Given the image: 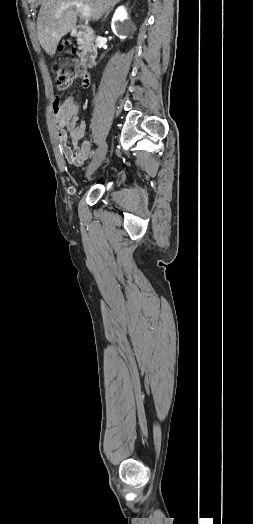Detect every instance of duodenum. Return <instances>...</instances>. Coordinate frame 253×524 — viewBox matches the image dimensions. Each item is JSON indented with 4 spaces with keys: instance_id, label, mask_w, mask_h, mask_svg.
<instances>
[{
    "instance_id": "1",
    "label": "duodenum",
    "mask_w": 253,
    "mask_h": 524,
    "mask_svg": "<svg viewBox=\"0 0 253 524\" xmlns=\"http://www.w3.org/2000/svg\"><path fill=\"white\" fill-rule=\"evenodd\" d=\"M72 36L81 42V61L83 66L91 68L95 64L97 47L93 41V31L89 26H78L72 31Z\"/></svg>"
}]
</instances>
